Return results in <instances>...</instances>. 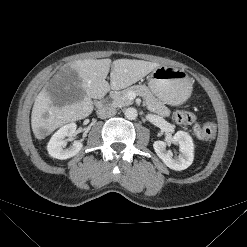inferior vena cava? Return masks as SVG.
<instances>
[{
  "label": "inferior vena cava",
  "mask_w": 247,
  "mask_h": 247,
  "mask_svg": "<svg viewBox=\"0 0 247 247\" xmlns=\"http://www.w3.org/2000/svg\"><path fill=\"white\" fill-rule=\"evenodd\" d=\"M116 109L113 106H103L97 110V114L100 118H109L116 114Z\"/></svg>",
  "instance_id": "inferior-vena-cava-1"
}]
</instances>
